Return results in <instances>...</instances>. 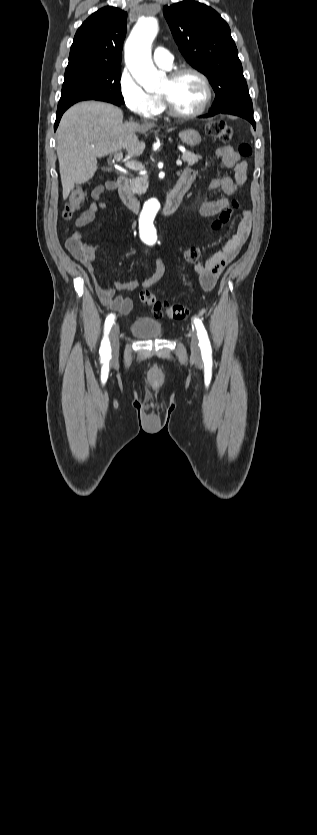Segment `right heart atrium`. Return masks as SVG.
<instances>
[{
    "instance_id": "d8ad5b80",
    "label": "right heart atrium",
    "mask_w": 317,
    "mask_h": 835,
    "mask_svg": "<svg viewBox=\"0 0 317 835\" xmlns=\"http://www.w3.org/2000/svg\"><path fill=\"white\" fill-rule=\"evenodd\" d=\"M118 88L124 104L137 116L154 118L159 114L160 101L147 93L127 68L119 75Z\"/></svg>"
}]
</instances>
